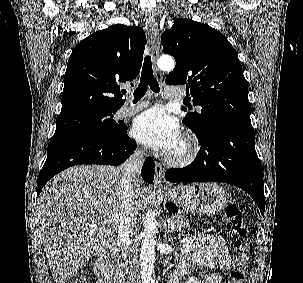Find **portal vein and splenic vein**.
<instances>
[{
	"mask_svg": "<svg viewBox=\"0 0 303 283\" xmlns=\"http://www.w3.org/2000/svg\"><path fill=\"white\" fill-rule=\"evenodd\" d=\"M168 227H169V228H172V227H173V225H172V222H171V221H169V222H168Z\"/></svg>",
	"mask_w": 303,
	"mask_h": 283,
	"instance_id": "18ae733b",
	"label": "portal vein and splenic vein"
}]
</instances>
